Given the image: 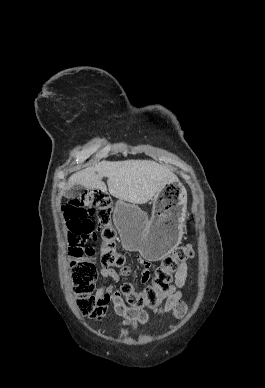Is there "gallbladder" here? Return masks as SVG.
Segmentation results:
<instances>
[{
	"label": "gallbladder",
	"mask_w": 265,
	"mask_h": 388,
	"mask_svg": "<svg viewBox=\"0 0 265 388\" xmlns=\"http://www.w3.org/2000/svg\"><path fill=\"white\" fill-rule=\"evenodd\" d=\"M83 190H85L84 186H80V184H76V186H73V188H71V190L67 192L65 198H69V200H73V198H79Z\"/></svg>",
	"instance_id": "gallbladder-1"
}]
</instances>
